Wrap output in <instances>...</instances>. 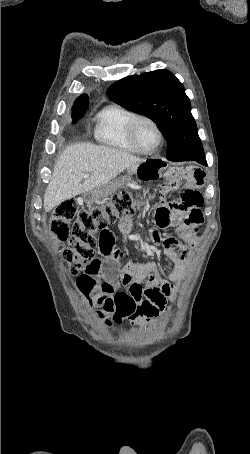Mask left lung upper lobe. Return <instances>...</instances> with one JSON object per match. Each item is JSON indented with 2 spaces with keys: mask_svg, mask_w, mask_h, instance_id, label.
<instances>
[{
  "mask_svg": "<svg viewBox=\"0 0 250 454\" xmlns=\"http://www.w3.org/2000/svg\"><path fill=\"white\" fill-rule=\"evenodd\" d=\"M107 94L122 107L153 120L167 141V159L204 155L190 100L184 86L168 70L125 77Z\"/></svg>",
  "mask_w": 250,
  "mask_h": 454,
  "instance_id": "5c2ea615",
  "label": "left lung upper lobe"
}]
</instances>
